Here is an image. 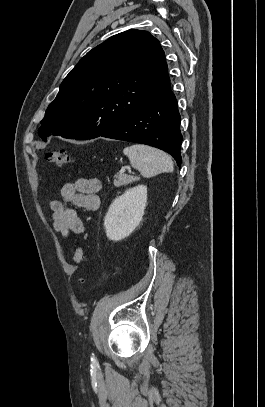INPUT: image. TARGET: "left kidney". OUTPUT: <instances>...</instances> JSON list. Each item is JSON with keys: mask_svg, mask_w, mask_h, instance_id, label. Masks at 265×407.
<instances>
[{"mask_svg": "<svg viewBox=\"0 0 265 407\" xmlns=\"http://www.w3.org/2000/svg\"><path fill=\"white\" fill-rule=\"evenodd\" d=\"M147 203V187L138 185L116 198L104 218L107 237L120 241L128 237L140 224Z\"/></svg>", "mask_w": 265, "mask_h": 407, "instance_id": "5707ae66", "label": "left kidney"}]
</instances>
